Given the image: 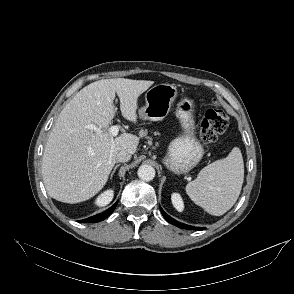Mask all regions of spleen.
Here are the masks:
<instances>
[{
    "instance_id": "1",
    "label": "spleen",
    "mask_w": 294,
    "mask_h": 294,
    "mask_svg": "<svg viewBox=\"0 0 294 294\" xmlns=\"http://www.w3.org/2000/svg\"><path fill=\"white\" fill-rule=\"evenodd\" d=\"M244 180L241 151L234 147L229 155L204 167L186 185L190 199L211 215L220 216L235 204Z\"/></svg>"
}]
</instances>
